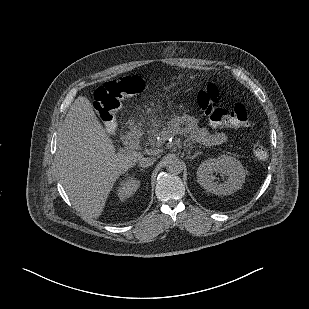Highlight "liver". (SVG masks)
Here are the masks:
<instances>
[{"label":"liver","instance_id":"obj_1","mask_svg":"<svg viewBox=\"0 0 309 309\" xmlns=\"http://www.w3.org/2000/svg\"><path fill=\"white\" fill-rule=\"evenodd\" d=\"M142 157L120 151L108 137L87 97L70 107L57 139L61 183L74 206L89 218H98L118 177Z\"/></svg>","mask_w":309,"mask_h":309}]
</instances>
